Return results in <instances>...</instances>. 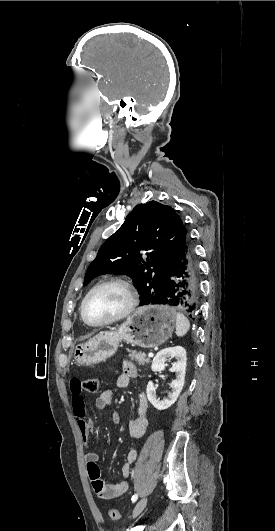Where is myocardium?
<instances>
[{
	"mask_svg": "<svg viewBox=\"0 0 275 531\" xmlns=\"http://www.w3.org/2000/svg\"><path fill=\"white\" fill-rule=\"evenodd\" d=\"M108 285H117V286H120L121 288L124 289V291L126 292L127 297H128V304H127L126 308L124 309V311H122L118 315L113 316V317H111V318H109L107 320H104V321H101V322H90V321H88L86 319L85 315H84V304H85L86 300L95 291H97L98 289H100L102 287L108 286ZM136 303H137V293H136V290L134 289L133 285L125 278H122V277H110V278H107V279L97 283L96 285H94L86 293V295L82 298L81 303H80V317H81L82 321L85 324H87L88 326H91V327H103V326L111 325L113 323L121 321V320L125 319L126 317H128L133 312V310H134V308L136 306Z\"/></svg>",
	"mask_w": 275,
	"mask_h": 531,
	"instance_id": "f54148a6",
	"label": "myocardium"
}]
</instances>
